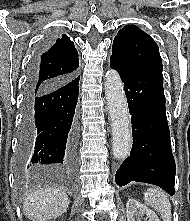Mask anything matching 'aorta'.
<instances>
[{"label":"aorta","instance_id":"obj_1","mask_svg":"<svg viewBox=\"0 0 190 221\" xmlns=\"http://www.w3.org/2000/svg\"><path fill=\"white\" fill-rule=\"evenodd\" d=\"M105 95L112 127V150L117 159H125L131 150L130 117L123 83L116 70H108Z\"/></svg>","mask_w":190,"mask_h":221}]
</instances>
